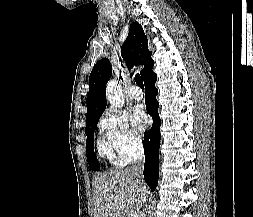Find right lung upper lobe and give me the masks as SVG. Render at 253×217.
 <instances>
[{
    "label": "right lung upper lobe",
    "mask_w": 253,
    "mask_h": 217,
    "mask_svg": "<svg viewBox=\"0 0 253 217\" xmlns=\"http://www.w3.org/2000/svg\"><path fill=\"white\" fill-rule=\"evenodd\" d=\"M148 40L141 25L133 22L129 29V34L121 47V55L130 66L144 65L140 72L143 79L150 73L154 61L151 52L148 50ZM112 75V66L108 59H101L92 69L89 77V93L87 95L86 121L93 120L102 115L106 108V84Z\"/></svg>",
    "instance_id": "1"
}]
</instances>
